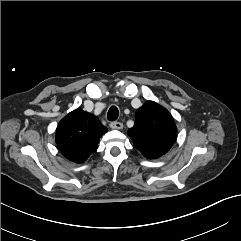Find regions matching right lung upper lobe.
<instances>
[{"label":"right lung upper lobe","mask_w":241,"mask_h":241,"mask_svg":"<svg viewBox=\"0 0 241 241\" xmlns=\"http://www.w3.org/2000/svg\"><path fill=\"white\" fill-rule=\"evenodd\" d=\"M107 132L99 119L82 109L65 116L56 129V143L70 161L82 163L96 151L100 137Z\"/></svg>","instance_id":"1"}]
</instances>
